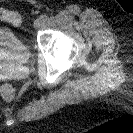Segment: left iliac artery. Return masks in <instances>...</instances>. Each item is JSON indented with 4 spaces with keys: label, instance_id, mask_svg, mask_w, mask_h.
<instances>
[{
    "label": "left iliac artery",
    "instance_id": "1",
    "mask_svg": "<svg viewBox=\"0 0 133 133\" xmlns=\"http://www.w3.org/2000/svg\"><path fill=\"white\" fill-rule=\"evenodd\" d=\"M41 18L43 19V21H47L49 19V16L47 14L41 15Z\"/></svg>",
    "mask_w": 133,
    "mask_h": 133
}]
</instances>
